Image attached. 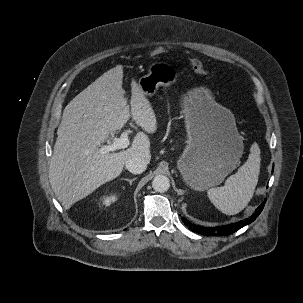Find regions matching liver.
Returning a JSON list of instances; mask_svg holds the SVG:
<instances>
[{"mask_svg": "<svg viewBox=\"0 0 303 303\" xmlns=\"http://www.w3.org/2000/svg\"><path fill=\"white\" fill-rule=\"evenodd\" d=\"M123 67L108 70L65 107L49 166L51 187L64 209L117 178L134 156L151 159L150 141L138 132L132 145L119 152H99L109 136L125 126L130 116L147 133H155L154 110L133 79L131 99L124 97Z\"/></svg>", "mask_w": 303, "mask_h": 303, "instance_id": "6515ba94", "label": "liver"}]
</instances>
